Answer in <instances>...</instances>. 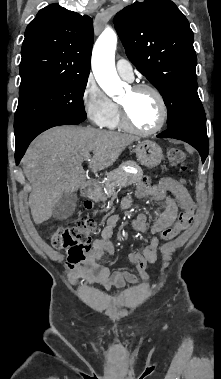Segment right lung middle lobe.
I'll return each mask as SVG.
<instances>
[{"mask_svg": "<svg viewBox=\"0 0 221 379\" xmlns=\"http://www.w3.org/2000/svg\"><path fill=\"white\" fill-rule=\"evenodd\" d=\"M88 77L67 78L20 88L14 117L16 143L33 140L66 120L84 121L83 94Z\"/></svg>", "mask_w": 221, "mask_h": 379, "instance_id": "obj_1", "label": "right lung middle lobe"}]
</instances>
